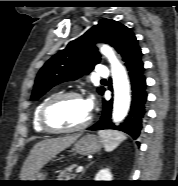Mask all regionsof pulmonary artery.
I'll use <instances>...</instances> for the list:
<instances>
[{
  "label": "pulmonary artery",
  "mask_w": 178,
  "mask_h": 186,
  "mask_svg": "<svg viewBox=\"0 0 178 186\" xmlns=\"http://www.w3.org/2000/svg\"><path fill=\"white\" fill-rule=\"evenodd\" d=\"M96 74L101 77H107L108 76V69L105 65L99 64L96 67Z\"/></svg>",
  "instance_id": "e3ab8cb5"
}]
</instances>
